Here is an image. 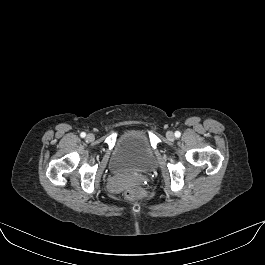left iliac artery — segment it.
Wrapping results in <instances>:
<instances>
[{
	"instance_id": "left-iliac-artery-1",
	"label": "left iliac artery",
	"mask_w": 265,
	"mask_h": 265,
	"mask_svg": "<svg viewBox=\"0 0 265 265\" xmlns=\"http://www.w3.org/2000/svg\"><path fill=\"white\" fill-rule=\"evenodd\" d=\"M181 136V133L179 131L175 132V137L179 138Z\"/></svg>"
}]
</instances>
